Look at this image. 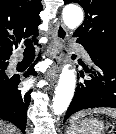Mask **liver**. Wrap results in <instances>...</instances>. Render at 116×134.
I'll use <instances>...</instances> for the list:
<instances>
[{"instance_id":"1","label":"liver","mask_w":116,"mask_h":134,"mask_svg":"<svg viewBox=\"0 0 116 134\" xmlns=\"http://www.w3.org/2000/svg\"><path fill=\"white\" fill-rule=\"evenodd\" d=\"M0 134H17V131L12 126L0 121Z\"/></svg>"}]
</instances>
